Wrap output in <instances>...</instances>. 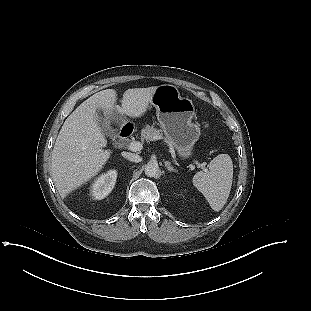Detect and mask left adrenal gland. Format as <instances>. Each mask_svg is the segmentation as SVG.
Returning <instances> with one entry per match:
<instances>
[{
	"label": "left adrenal gland",
	"mask_w": 311,
	"mask_h": 311,
	"mask_svg": "<svg viewBox=\"0 0 311 311\" xmlns=\"http://www.w3.org/2000/svg\"><path fill=\"white\" fill-rule=\"evenodd\" d=\"M165 165H166L169 172H176V169L171 165L170 162L166 161Z\"/></svg>",
	"instance_id": "obj_1"
}]
</instances>
